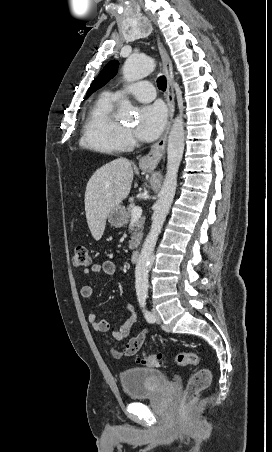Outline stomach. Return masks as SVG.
Segmentation results:
<instances>
[{"label":"stomach","mask_w":272,"mask_h":452,"mask_svg":"<svg viewBox=\"0 0 272 452\" xmlns=\"http://www.w3.org/2000/svg\"><path fill=\"white\" fill-rule=\"evenodd\" d=\"M145 170H148L147 167H142ZM108 222L116 228H120L125 224L126 219V211L122 205H118L114 207L108 214Z\"/></svg>","instance_id":"1"}]
</instances>
